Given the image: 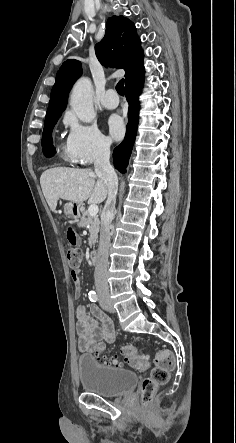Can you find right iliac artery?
I'll return each mask as SVG.
<instances>
[{"mask_svg":"<svg viewBox=\"0 0 236 443\" xmlns=\"http://www.w3.org/2000/svg\"><path fill=\"white\" fill-rule=\"evenodd\" d=\"M88 295H89L90 301L96 302L98 300V295L95 291H90Z\"/></svg>","mask_w":236,"mask_h":443,"instance_id":"obj_1","label":"right iliac artery"}]
</instances>
